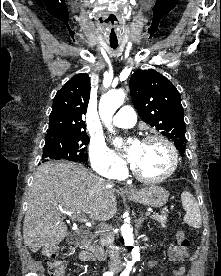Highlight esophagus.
<instances>
[{"label":"esophagus","mask_w":221,"mask_h":276,"mask_svg":"<svg viewBox=\"0 0 221 276\" xmlns=\"http://www.w3.org/2000/svg\"><path fill=\"white\" fill-rule=\"evenodd\" d=\"M133 190L132 189H125V192H132Z\"/></svg>","instance_id":"1"}]
</instances>
